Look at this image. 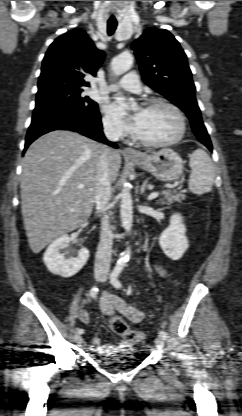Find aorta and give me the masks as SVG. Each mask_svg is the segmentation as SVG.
Returning <instances> with one entry per match:
<instances>
[{"label":"aorta","mask_w":242,"mask_h":416,"mask_svg":"<svg viewBox=\"0 0 242 416\" xmlns=\"http://www.w3.org/2000/svg\"><path fill=\"white\" fill-rule=\"evenodd\" d=\"M133 63V58L130 53H122L111 62V68L116 76L122 75L127 72ZM120 216L123 228L129 232L132 228L133 221V207H132V197L130 193V187L128 183H125L123 189L120 193ZM130 250L121 254V257L118 259L117 264L124 266L130 259Z\"/></svg>","instance_id":"762f6f07"}]
</instances>
